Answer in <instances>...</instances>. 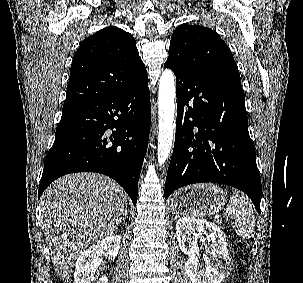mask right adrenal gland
<instances>
[{
	"instance_id": "right-adrenal-gland-1",
	"label": "right adrenal gland",
	"mask_w": 303,
	"mask_h": 283,
	"mask_svg": "<svg viewBox=\"0 0 303 283\" xmlns=\"http://www.w3.org/2000/svg\"><path fill=\"white\" fill-rule=\"evenodd\" d=\"M128 219V215H127V208L124 210V213H123V215L120 217V219H119V222H121L122 221V219Z\"/></svg>"
}]
</instances>
